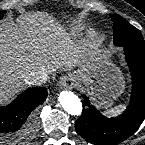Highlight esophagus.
<instances>
[{
	"instance_id": "34e87169",
	"label": "esophagus",
	"mask_w": 145,
	"mask_h": 145,
	"mask_svg": "<svg viewBox=\"0 0 145 145\" xmlns=\"http://www.w3.org/2000/svg\"><path fill=\"white\" fill-rule=\"evenodd\" d=\"M76 85V79L73 75H66L61 78L59 86L62 89H72Z\"/></svg>"
}]
</instances>
